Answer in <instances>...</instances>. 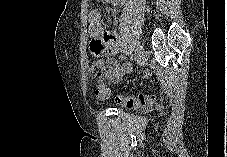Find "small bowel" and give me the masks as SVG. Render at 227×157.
Listing matches in <instances>:
<instances>
[{
	"label": "small bowel",
	"instance_id": "c3829d8e",
	"mask_svg": "<svg viewBox=\"0 0 227 157\" xmlns=\"http://www.w3.org/2000/svg\"><path fill=\"white\" fill-rule=\"evenodd\" d=\"M105 3L118 7L122 0H104ZM102 15L98 9L89 13V33L92 37L91 54H104L108 58L104 63V73L99 78H106L112 82L118 81L131 68L128 62H121L119 56L118 38L114 33L105 31Z\"/></svg>",
	"mask_w": 227,
	"mask_h": 157
}]
</instances>
